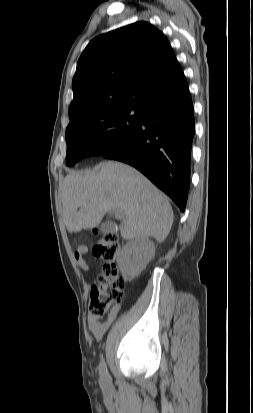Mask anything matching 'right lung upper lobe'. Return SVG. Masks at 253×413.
Instances as JSON below:
<instances>
[{
    "instance_id": "cb5924a9",
    "label": "right lung upper lobe",
    "mask_w": 253,
    "mask_h": 413,
    "mask_svg": "<svg viewBox=\"0 0 253 413\" xmlns=\"http://www.w3.org/2000/svg\"><path fill=\"white\" fill-rule=\"evenodd\" d=\"M70 121L114 106L181 98L188 84L167 38L137 22L93 39L77 63Z\"/></svg>"
}]
</instances>
